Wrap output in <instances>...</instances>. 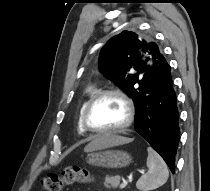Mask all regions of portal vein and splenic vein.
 I'll list each match as a JSON object with an SVG mask.
<instances>
[{"mask_svg": "<svg viewBox=\"0 0 210 191\" xmlns=\"http://www.w3.org/2000/svg\"><path fill=\"white\" fill-rule=\"evenodd\" d=\"M141 173H143V171H140ZM128 184V181L127 180H123V182L121 183L120 185V189H124Z\"/></svg>", "mask_w": 210, "mask_h": 191, "instance_id": "obj_1", "label": "portal vein and splenic vein"}]
</instances>
